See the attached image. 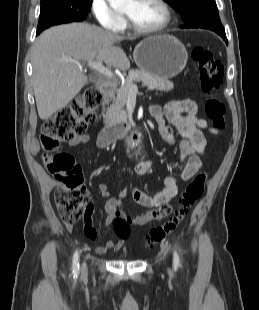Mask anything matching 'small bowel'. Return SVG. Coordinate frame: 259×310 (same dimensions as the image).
Wrapping results in <instances>:
<instances>
[{
	"instance_id": "obj_1",
	"label": "small bowel",
	"mask_w": 259,
	"mask_h": 310,
	"mask_svg": "<svg viewBox=\"0 0 259 310\" xmlns=\"http://www.w3.org/2000/svg\"><path fill=\"white\" fill-rule=\"evenodd\" d=\"M150 115L157 121L160 134L164 142L173 147L176 143L173 129L181 137L179 143L180 163H185L181 172V178L184 181L190 180L202 167V155L205 152L207 141L202 129L208 128L207 122L198 116V105L190 99L172 100L167 102L164 107L152 104L148 108ZM165 119L171 124L167 125ZM212 134H218L214 129L208 128ZM90 137L88 134H82L68 143L70 146H80L86 144ZM34 152H38L39 144L34 141L31 144ZM157 166L151 160H143L136 164L135 174L143 176L148 172L156 169ZM99 189L103 197L108 198L105 204L107 218L105 223H110L116 216L123 217L129 224L143 225L153 220H160L166 217L171 211L170 201L178 193L177 179L172 175H167L164 179V188L153 196L143 191L133 188L131 195L133 200L147 208L146 211L137 214L134 217L127 216L121 208V200L117 197H110V190L107 183H100ZM94 208L86 211L84 217V234L95 239L97 232L93 227ZM69 230H73V226L68 225ZM123 239L113 242L107 241L103 245L96 247V252L100 255L106 254L110 250L119 251L123 247Z\"/></svg>"
}]
</instances>
